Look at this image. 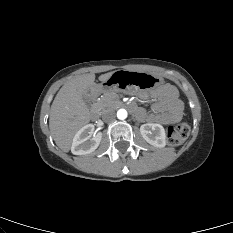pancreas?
<instances>
[{"label": "pancreas", "mask_w": 233, "mask_h": 233, "mask_svg": "<svg viewBox=\"0 0 233 233\" xmlns=\"http://www.w3.org/2000/svg\"><path fill=\"white\" fill-rule=\"evenodd\" d=\"M96 104L102 112L116 109L119 106V96L116 93H106Z\"/></svg>", "instance_id": "pancreas-1"}]
</instances>
